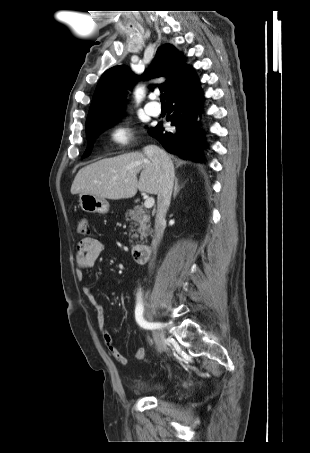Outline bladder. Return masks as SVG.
Here are the masks:
<instances>
[{
  "instance_id": "obj_1",
  "label": "bladder",
  "mask_w": 310,
  "mask_h": 453,
  "mask_svg": "<svg viewBox=\"0 0 310 453\" xmlns=\"http://www.w3.org/2000/svg\"><path fill=\"white\" fill-rule=\"evenodd\" d=\"M133 389L141 393H161L164 385L159 381H137Z\"/></svg>"
}]
</instances>
